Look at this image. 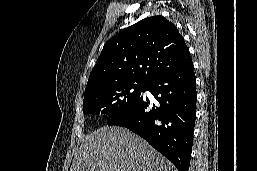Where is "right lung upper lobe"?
I'll return each mask as SVG.
<instances>
[{
    "label": "right lung upper lobe",
    "mask_w": 257,
    "mask_h": 171,
    "mask_svg": "<svg viewBox=\"0 0 257 171\" xmlns=\"http://www.w3.org/2000/svg\"><path fill=\"white\" fill-rule=\"evenodd\" d=\"M191 61L176 26L161 15L125 28L104 45L85 92L125 82L150 83Z\"/></svg>",
    "instance_id": "1"
}]
</instances>
